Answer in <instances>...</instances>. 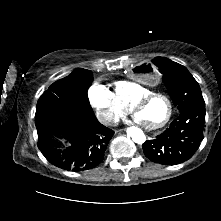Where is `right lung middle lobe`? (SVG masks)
Returning a JSON list of instances; mask_svg holds the SVG:
<instances>
[{
    "mask_svg": "<svg viewBox=\"0 0 221 221\" xmlns=\"http://www.w3.org/2000/svg\"><path fill=\"white\" fill-rule=\"evenodd\" d=\"M91 82V72L79 68L69 78L53 83L38 100L35 114L37 130L55 125L66 117L94 118L86 92Z\"/></svg>",
    "mask_w": 221,
    "mask_h": 221,
    "instance_id": "right-lung-middle-lobe-1",
    "label": "right lung middle lobe"
}]
</instances>
